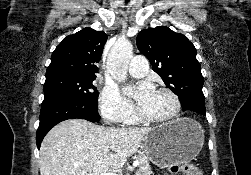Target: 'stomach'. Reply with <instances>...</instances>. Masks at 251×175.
<instances>
[{
    "instance_id": "0dacf381",
    "label": "stomach",
    "mask_w": 251,
    "mask_h": 175,
    "mask_svg": "<svg viewBox=\"0 0 251 175\" xmlns=\"http://www.w3.org/2000/svg\"><path fill=\"white\" fill-rule=\"evenodd\" d=\"M204 143L201 123L190 117L174 119L166 125L150 127L143 143L146 157L163 167L181 165L195 159Z\"/></svg>"
}]
</instances>
